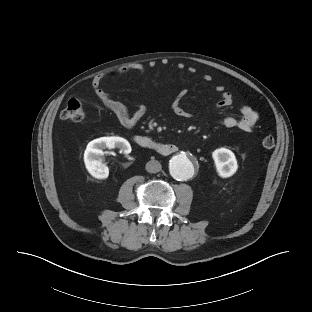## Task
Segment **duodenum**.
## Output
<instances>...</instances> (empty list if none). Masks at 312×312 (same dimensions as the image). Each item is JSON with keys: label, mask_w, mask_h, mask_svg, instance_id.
<instances>
[{"label": "duodenum", "mask_w": 312, "mask_h": 312, "mask_svg": "<svg viewBox=\"0 0 312 312\" xmlns=\"http://www.w3.org/2000/svg\"><path fill=\"white\" fill-rule=\"evenodd\" d=\"M133 142L139 147L148 149L161 155L173 154L177 152L179 148L177 144L159 142L149 136L142 135L134 136Z\"/></svg>", "instance_id": "410a0bca"}]
</instances>
